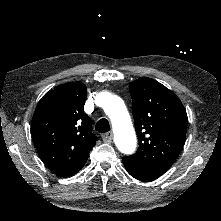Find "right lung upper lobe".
<instances>
[{
	"label": "right lung upper lobe",
	"instance_id": "cb5924a9",
	"mask_svg": "<svg viewBox=\"0 0 221 221\" xmlns=\"http://www.w3.org/2000/svg\"><path fill=\"white\" fill-rule=\"evenodd\" d=\"M87 89L65 83L46 93L37 104L31 132L44 164L56 175L69 177L82 169L98 138L84 113Z\"/></svg>",
	"mask_w": 221,
	"mask_h": 221
}]
</instances>
